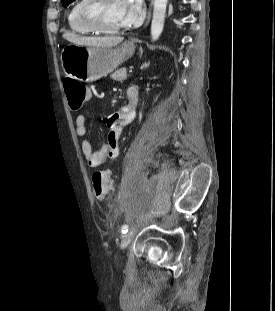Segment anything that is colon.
I'll return each mask as SVG.
<instances>
[{
    "label": "colon",
    "mask_w": 275,
    "mask_h": 311,
    "mask_svg": "<svg viewBox=\"0 0 275 311\" xmlns=\"http://www.w3.org/2000/svg\"><path fill=\"white\" fill-rule=\"evenodd\" d=\"M69 106L72 110H80L90 97L89 88L73 79L64 83ZM113 184L110 174L106 171H95L92 175V189L97 199H105L112 190Z\"/></svg>",
    "instance_id": "colon-1"
}]
</instances>
